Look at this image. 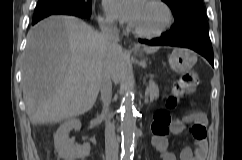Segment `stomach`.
<instances>
[{
    "label": "stomach",
    "instance_id": "0dacf381",
    "mask_svg": "<svg viewBox=\"0 0 242 160\" xmlns=\"http://www.w3.org/2000/svg\"><path fill=\"white\" fill-rule=\"evenodd\" d=\"M196 61L195 53L186 48H175L169 57L170 67L180 74L189 72Z\"/></svg>",
    "mask_w": 242,
    "mask_h": 160
}]
</instances>
